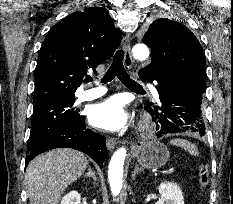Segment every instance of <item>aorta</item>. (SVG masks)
Here are the masks:
<instances>
[{
    "instance_id": "obj_1",
    "label": "aorta",
    "mask_w": 233,
    "mask_h": 204,
    "mask_svg": "<svg viewBox=\"0 0 233 204\" xmlns=\"http://www.w3.org/2000/svg\"><path fill=\"white\" fill-rule=\"evenodd\" d=\"M132 53L134 58L138 60H145L149 56L147 46L142 43L136 44L132 49ZM126 155L127 150L122 147L113 154L109 163L108 179L114 196L119 195L122 189L123 165Z\"/></svg>"
}]
</instances>
